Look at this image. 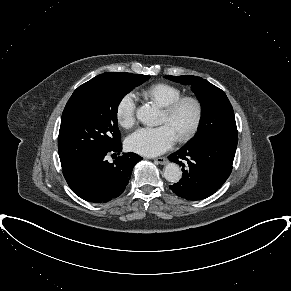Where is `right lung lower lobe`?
<instances>
[{
  "mask_svg": "<svg viewBox=\"0 0 291 291\" xmlns=\"http://www.w3.org/2000/svg\"><path fill=\"white\" fill-rule=\"evenodd\" d=\"M122 144L81 156L63 169V175L73 192L80 198L104 203L119 197L125 190L134 165L142 160L135 153H124L113 163L108 154H120Z\"/></svg>",
  "mask_w": 291,
  "mask_h": 291,
  "instance_id": "right-lung-lower-lobe-1",
  "label": "right lung lower lobe"
}]
</instances>
